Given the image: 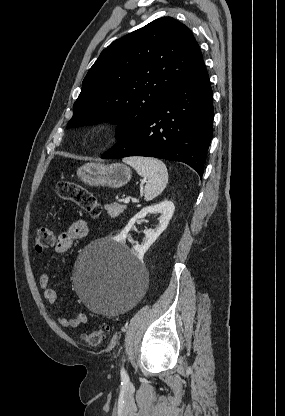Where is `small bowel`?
Instances as JSON below:
<instances>
[{"label": "small bowel", "instance_id": "small-bowel-1", "mask_svg": "<svg viewBox=\"0 0 285 416\" xmlns=\"http://www.w3.org/2000/svg\"><path fill=\"white\" fill-rule=\"evenodd\" d=\"M89 232L90 226L87 221L82 219L74 221L66 232L59 235L54 248L55 253L57 255L65 254L71 249L74 241L86 238L89 235ZM39 285L43 289L46 301L49 304H55L58 300V296L57 292L50 286L48 274L43 273L40 275ZM57 321L62 327L77 328L81 324L87 323L88 317L85 313L79 312L71 318L60 316Z\"/></svg>", "mask_w": 285, "mask_h": 416}]
</instances>
